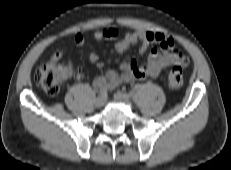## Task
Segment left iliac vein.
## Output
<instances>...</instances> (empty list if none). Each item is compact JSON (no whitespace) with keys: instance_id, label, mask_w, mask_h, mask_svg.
I'll return each mask as SVG.
<instances>
[{"instance_id":"left-iliac-vein-1","label":"left iliac vein","mask_w":231,"mask_h":170,"mask_svg":"<svg viewBox=\"0 0 231 170\" xmlns=\"http://www.w3.org/2000/svg\"><path fill=\"white\" fill-rule=\"evenodd\" d=\"M114 99L120 103L131 105V99L129 95L122 93L120 91L114 94Z\"/></svg>"}]
</instances>
